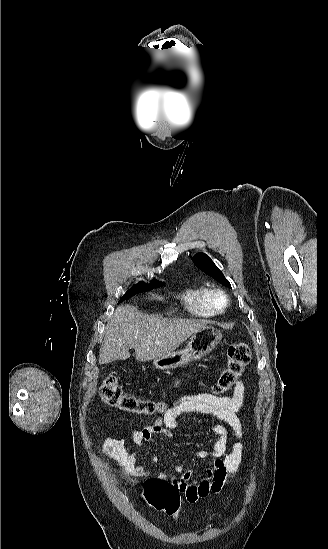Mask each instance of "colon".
I'll list each match as a JSON object with an SVG mask.
<instances>
[{
    "label": "colon",
    "mask_w": 328,
    "mask_h": 549,
    "mask_svg": "<svg viewBox=\"0 0 328 549\" xmlns=\"http://www.w3.org/2000/svg\"><path fill=\"white\" fill-rule=\"evenodd\" d=\"M227 363L212 387L215 395L229 391L244 367L251 359V350L247 344L236 342L226 350ZM102 400L109 406L142 415H154L165 411L160 401L137 397L126 393L115 377H107L100 388ZM180 489L167 479L154 478L144 483L140 498L150 508L163 511L174 520L180 517Z\"/></svg>",
    "instance_id": "obj_1"
}]
</instances>
